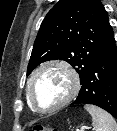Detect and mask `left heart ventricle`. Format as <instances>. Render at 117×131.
<instances>
[{
  "label": "left heart ventricle",
  "instance_id": "b2bd125f",
  "mask_svg": "<svg viewBox=\"0 0 117 131\" xmlns=\"http://www.w3.org/2000/svg\"><path fill=\"white\" fill-rule=\"evenodd\" d=\"M70 79L59 68L42 71L33 83V96L42 109H49L60 103L69 93Z\"/></svg>",
  "mask_w": 117,
  "mask_h": 131
}]
</instances>
